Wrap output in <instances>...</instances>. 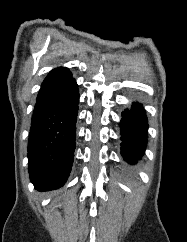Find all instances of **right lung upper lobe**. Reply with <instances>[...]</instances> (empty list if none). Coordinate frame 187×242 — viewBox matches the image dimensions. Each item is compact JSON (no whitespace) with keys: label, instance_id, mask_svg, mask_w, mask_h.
Masks as SVG:
<instances>
[{"label":"right lung upper lobe","instance_id":"1","mask_svg":"<svg viewBox=\"0 0 187 242\" xmlns=\"http://www.w3.org/2000/svg\"><path fill=\"white\" fill-rule=\"evenodd\" d=\"M70 75H71V73L69 72L68 68H66V67L55 68L47 75V77L44 79L42 85L54 83L56 81L66 78Z\"/></svg>","mask_w":187,"mask_h":242}]
</instances>
